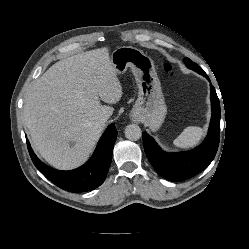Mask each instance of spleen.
I'll list each match as a JSON object with an SVG mask.
<instances>
[{
	"instance_id": "spleen-1",
	"label": "spleen",
	"mask_w": 249,
	"mask_h": 249,
	"mask_svg": "<svg viewBox=\"0 0 249 249\" xmlns=\"http://www.w3.org/2000/svg\"><path fill=\"white\" fill-rule=\"evenodd\" d=\"M203 130L197 126H189L174 140V145L179 148L195 146L202 138Z\"/></svg>"
}]
</instances>
